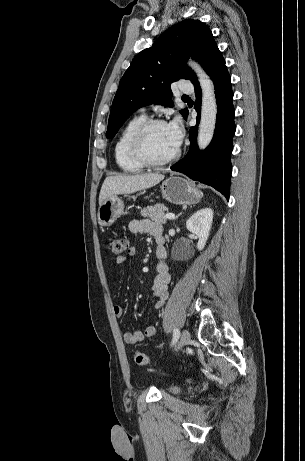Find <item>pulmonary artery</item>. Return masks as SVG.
<instances>
[{
	"instance_id": "pulmonary-artery-1",
	"label": "pulmonary artery",
	"mask_w": 305,
	"mask_h": 461,
	"mask_svg": "<svg viewBox=\"0 0 305 461\" xmlns=\"http://www.w3.org/2000/svg\"><path fill=\"white\" fill-rule=\"evenodd\" d=\"M180 91L183 93H191L193 91V88L189 84L182 83L180 85Z\"/></svg>"
}]
</instances>
